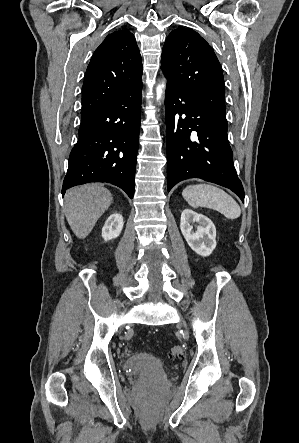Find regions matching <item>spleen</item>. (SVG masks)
Returning <instances> with one entry per match:
<instances>
[{
  "instance_id": "obj_1",
  "label": "spleen",
  "mask_w": 299,
  "mask_h": 443,
  "mask_svg": "<svg viewBox=\"0 0 299 443\" xmlns=\"http://www.w3.org/2000/svg\"><path fill=\"white\" fill-rule=\"evenodd\" d=\"M182 196L193 208L214 209L232 220L241 215L238 203L224 190L210 184L187 186L183 190Z\"/></svg>"
}]
</instances>
